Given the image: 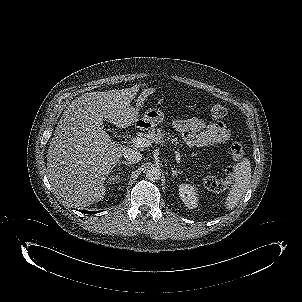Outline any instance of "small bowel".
<instances>
[{
  "mask_svg": "<svg viewBox=\"0 0 302 302\" xmlns=\"http://www.w3.org/2000/svg\"><path fill=\"white\" fill-rule=\"evenodd\" d=\"M173 126L190 147L203 148L223 144L230 137L228 127L221 121L206 124L198 118L175 119Z\"/></svg>",
  "mask_w": 302,
  "mask_h": 302,
  "instance_id": "obj_1",
  "label": "small bowel"
}]
</instances>
